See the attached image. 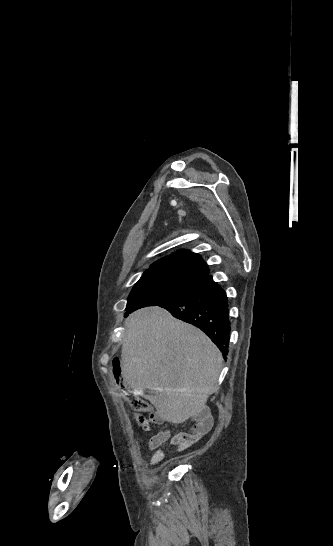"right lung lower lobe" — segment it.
<instances>
[{
    "mask_svg": "<svg viewBox=\"0 0 333 546\" xmlns=\"http://www.w3.org/2000/svg\"><path fill=\"white\" fill-rule=\"evenodd\" d=\"M157 305L204 331L226 358L230 339L228 300L225 291L212 280L211 275L192 292Z\"/></svg>",
    "mask_w": 333,
    "mask_h": 546,
    "instance_id": "1",
    "label": "right lung lower lobe"
}]
</instances>
